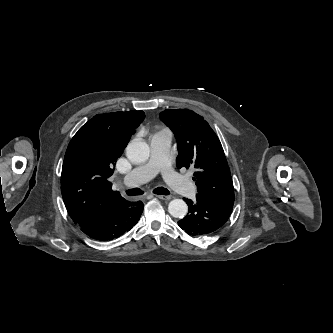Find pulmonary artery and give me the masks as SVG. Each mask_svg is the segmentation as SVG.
<instances>
[{
	"label": "pulmonary artery",
	"mask_w": 333,
	"mask_h": 333,
	"mask_svg": "<svg viewBox=\"0 0 333 333\" xmlns=\"http://www.w3.org/2000/svg\"><path fill=\"white\" fill-rule=\"evenodd\" d=\"M171 143L172 136L168 131L154 133L149 139L150 157L148 161L126 175L124 184L128 187H134L161 173L164 180L174 190L184 195L191 194L194 191L192 182L179 175L170 166Z\"/></svg>",
	"instance_id": "1"
}]
</instances>
